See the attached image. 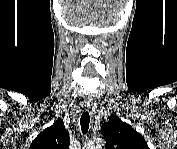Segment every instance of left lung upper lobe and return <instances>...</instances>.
Segmentation results:
<instances>
[{"instance_id": "left-lung-upper-lobe-1", "label": "left lung upper lobe", "mask_w": 177, "mask_h": 149, "mask_svg": "<svg viewBox=\"0 0 177 149\" xmlns=\"http://www.w3.org/2000/svg\"><path fill=\"white\" fill-rule=\"evenodd\" d=\"M101 131L106 149H149L144 137L116 115L102 125Z\"/></svg>"}]
</instances>
